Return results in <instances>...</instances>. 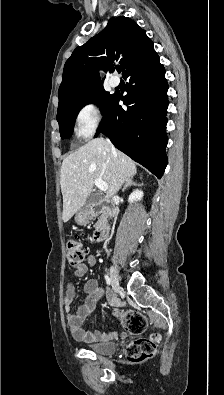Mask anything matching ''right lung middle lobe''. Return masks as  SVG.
Wrapping results in <instances>:
<instances>
[{"instance_id":"right-lung-middle-lobe-1","label":"right lung middle lobe","mask_w":224,"mask_h":395,"mask_svg":"<svg viewBox=\"0 0 224 395\" xmlns=\"http://www.w3.org/2000/svg\"><path fill=\"white\" fill-rule=\"evenodd\" d=\"M113 98L114 94L110 95L102 86H97L68 100L63 106L58 108L57 112L61 138H69L72 135L75 119L82 107L86 104L94 103L100 106L102 114H104Z\"/></svg>"}]
</instances>
